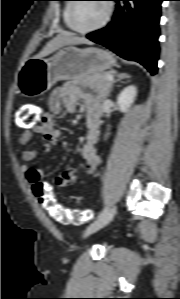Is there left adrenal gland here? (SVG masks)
I'll return each mask as SVG.
<instances>
[{"label":"left adrenal gland","instance_id":"1","mask_svg":"<svg viewBox=\"0 0 180 299\" xmlns=\"http://www.w3.org/2000/svg\"><path fill=\"white\" fill-rule=\"evenodd\" d=\"M128 78H130L129 75L124 74V73H118V74H117V79L114 81V83H117V82H119V81H121V80H123V79H128ZM112 89H113V85L111 86L110 91H111Z\"/></svg>","mask_w":180,"mask_h":299}]
</instances>
